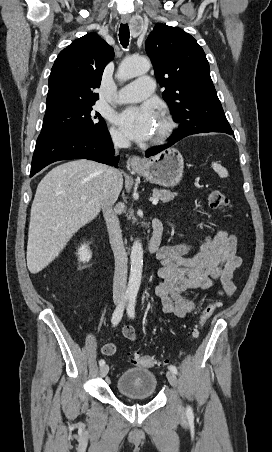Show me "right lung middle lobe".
Returning a JSON list of instances; mask_svg holds the SVG:
<instances>
[{"mask_svg": "<svg viewBox=\"0 0 272 452\" xmlns=\"http://www.w3.org/2000/svg\"><path fill=\"white\" fill-rule=\"evenodd\" d=\"M93 105L45 114L40 134L96 133L107 129L104 119Z\"/></svg>", "mask_w": 272, "mask_h": 452, "instance_id": "obj_1", "label": "right lung middle lobe"}]
</instances>
